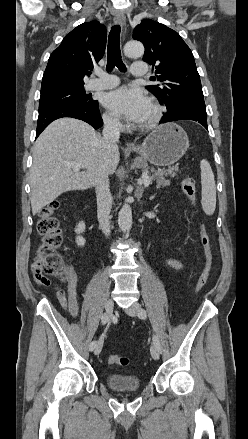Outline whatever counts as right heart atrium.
<instances>
[{
  "instance_id": "d8ad5b80",
  "label": "right heart atrium",
  "mask_w": 248,
  "mask_h": 439,
  "mask_svg": "<svg viewBox=\"0 0 248 439\" xmlns=\"http://www.w3.org/2000/svg\"><path fill=\"white\" fill-rule=\"evenodd\" d=\"M104 124L114 130H119L122 128V123L120 119L113 113L106 112L103 114Z\"/></svg>"
}]
</instances>
